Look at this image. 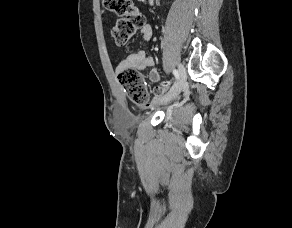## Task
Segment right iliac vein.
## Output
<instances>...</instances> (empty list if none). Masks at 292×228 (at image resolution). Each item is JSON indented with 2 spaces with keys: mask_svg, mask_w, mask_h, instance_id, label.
I'll return each instance as SVG.
<instances>
[{
  "mask_svg": "<svg viewBox=\"0 0 292 228\" xmlns=\"http://www.w3.org/2000/svg\"><path fill=\"white\" fill-rule=\"evenodd\" d=\"M179 75H180L179 80L174 85V87L170 90V92L163 97L162 101H168V100L173 99L186 86L187 76H186L185 68L182 64H179Z\"/></svg>",
  "mask_w": 292,
  "mask_h": 228,
  "instance_id": "obj_1",
  "label": "right iliac vein"
}]
</instances>
